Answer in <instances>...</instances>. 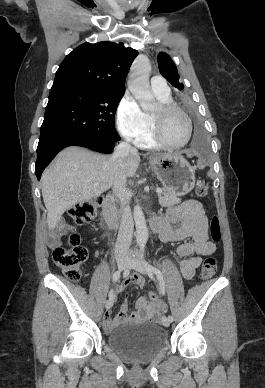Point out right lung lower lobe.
Instances as JSON below:
<instances>
[{"mask_svg":"<svg viewBox=\"0 0 265 388\" xmlns=\"http://www.w3.org/2000/svg\"><path fill=\"white\" fill-rule=\"evenodd\" d=\"M82 146L100 153H111L115 142L99 140L78 131H59L40 137L37 147L35 174L39 180L45 167L55 155L68 146Z\"/></svg>","mask_w":265,"mask_h":388,"instance_id":"right-lung-lower-lobe-1","label":"right lung lower lobe"}]
</instances>
